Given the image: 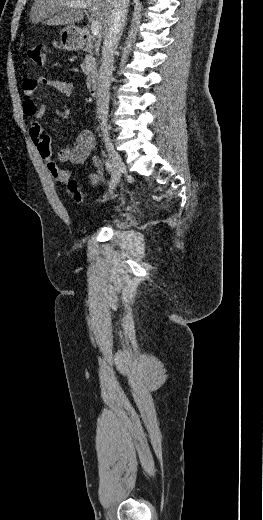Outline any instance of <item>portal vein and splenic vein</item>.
<instances>
[{"mask_svg": "<svg viewBox=\"0 0 263 520\" xmlns=\"http://www.w3.org/2000/svg\"><path fill=\"white\" fill-rule=\"evenodd\" d=\"M68 5L70 7H80V8H83V9H87L88 8L87 4H85L83 2H80V1L69 2ZM100 30H101L100 22L97 21V20H92V22H91V33H92V35L93 36L99 35Z\"/></svg>", "mask_w": 263, "mask_h": 520, "instance_id": "obj_1", "label": "portal vein and splenic vein"}]
</instances>
